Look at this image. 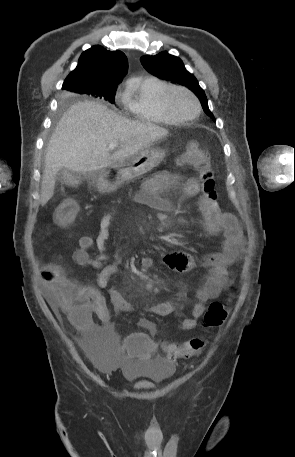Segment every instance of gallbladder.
I'll return each instance as SVG.
<instances>
[{"label":"gallbladder","instance_id":"obj_1","mask_svg":"<svg viewBox=\"0 0 295 457\" xmlns=\"http://www.w3.org/2000/svg\"><path fill=\"white\" fill-rule=\"evenodd\" d=\"M83 179L82 174L72 172L66 168H62L56 175V180L67 185V186H77L80 181Z\"/></svg>","mask_w":295,"mask_h":457}]
</instances>
